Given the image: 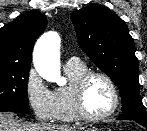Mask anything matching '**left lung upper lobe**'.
<instances>
[{"mask_svg": "<svg viewBox=\"0 0 147 131\" xmlns=\"http://www.w3.org/2000/svg\"><path fill=\"white\" fill-rule=\"evenodd\" d=\"M71 20L79 46L119 88L123 107L118 119L147 123L139 92L138 59L126 23L99 4L72 12Z\"/></svg>", "mask_w": 147, "mask_h": 131, "instance_id": "left-lung-upper-lobe-1", "label": "left lung upper lobe"}]
</instances>
